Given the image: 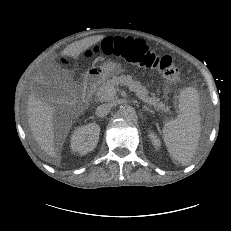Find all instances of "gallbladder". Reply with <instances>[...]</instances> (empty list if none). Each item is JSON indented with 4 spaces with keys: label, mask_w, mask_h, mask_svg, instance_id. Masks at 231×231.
<instances>
[{
    "label": "gallbladder",
    "mask_w": 231,
    "mask_h": 231,
    "mask_svg": "<svg viewBox=\"0 0 231 231\" xmlns=\"http://www.w3.org/2000/svg\"><path fill=\"white\" fill-rule=\"evenodd\" d=\"M57 70L56 74H51L48 77V82L40 84L39 93L47 100H58L64 93V87L71 82L72 76L66 69L54 65Z\"/></svg>",
    "instance_id": "1"
}]
</instances>
